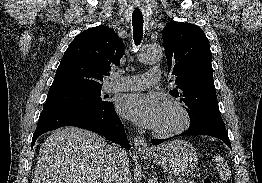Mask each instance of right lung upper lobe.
Listing matches in <instances>:
<instances>
[{"instance_id": "obj_1", "label": "right lung upper lobe", "mask_w": 262, "mask_h": 183, "mask_svg": "<svg viewBox=\"0 0 262 183\" xmlns=\"http://www.w3.org/2000/svg\"><path fill=\"white\" fill-rule=\"evenodd\" d=\"M124 43L108 26L89 28L70 43L49 92L102 87L103 76L119 66Z\"/></svg>"}]
</instances>
